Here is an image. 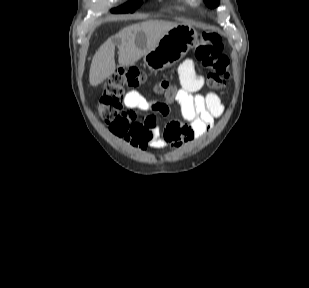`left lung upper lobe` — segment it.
Returning <instances> with one entry per match:
<instances>
[{"instance_id":"1","label":"left lung upper lobe","mask_w":309,"mask_h":288,"mask_svg":"<svg viewBox=\"0 0 309 288\" xmlns=\"http://www.w3.org/2000/svg\"><path fill=\"white\" fill-rule=\"evenodd\" d=\"M204 2L206 3V5L210 8H214L217 7L219 4V0H204Z\"/></svg>"}]
</instances>
